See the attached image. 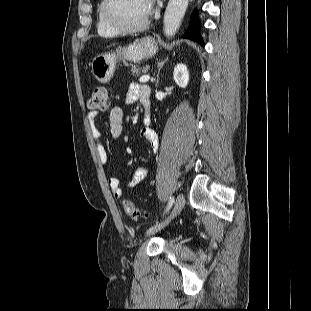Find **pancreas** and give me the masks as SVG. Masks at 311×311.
Listing matches in <instances>:
<instances>
[{"mask_svg":"<svg viewBox=\"0 0 311 311\" xmlns=\"http://www.w3.org/2000/svg\"><path fill=\"white\" fill-rule=\"evenodd\" d=\"M146 70H147V67L140 68V67L134 66L131 69V74L138 76L140 75L141 72H145Z\"/></svg>","mask_w":311,"mask_h":311,"instance_id":"pancreas-1","label":"pancreas"}]
</instances>
